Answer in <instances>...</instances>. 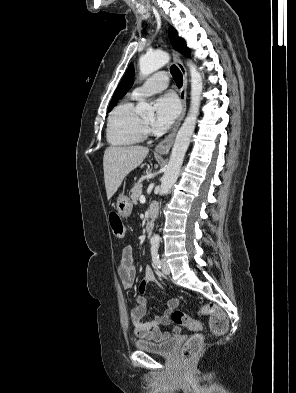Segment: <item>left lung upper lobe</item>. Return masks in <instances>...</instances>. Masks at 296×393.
I'll list each match as a JSON object with an SVG mask.
<instances>
[{
  "label": "left lung upper lobe",
  "mask_w": 296,
  "mask_h": 393,
  "mask_svg": "<svg viewBox=\"0 0 296 393\" xmlns=\"http://www.w3.org/2000/svg\"><path fill=\"white\" fill-rule=\"evenodd\" d=\"M169 38H170L171 44L173 45V47L176 50H178L180 53L185 54V55L190 54V50L186 47L185 41L178 36L177 31L173 27L169 28ZM133 72H134V67L131 64V65H129L125 76L121 80L119 86L117 87V89L113 95V98L110 102L108 111H110L115 106V104L118 102V100H120L122 98L123 94L132 86Z\"/></svg>",
  "instance_id": "5c2ea615"
}]
</instances>
